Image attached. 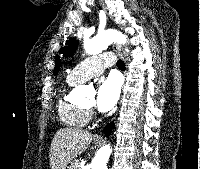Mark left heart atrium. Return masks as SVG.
<instances>
[{
	"mask_svg": "<svg viewBox=\"0 0 200 169\" xmlns=\"http://www.w3.org/2000/svg\"><path fill=\"white\" fill-rule=\"evenodd\" d=\"M121 83L116 77L102 80L97 89L96 104L101 112L111 110L120 96Z\"/></svg>",
	"mask_w": 200,
	"mask_h": 169,
	"instance_id": "obj_1",
	"label": "left heart atrium"
}]
</instances>
